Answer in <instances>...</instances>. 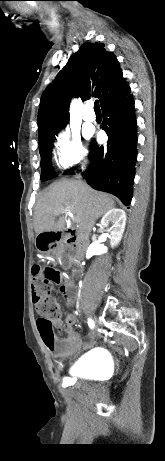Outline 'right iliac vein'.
<instances>
[{"label": "right iliac vein", "instance_id": "63e3f726", "mask_svg": "<svg viewBox=\"0 0 165 461\" xmlns=\"http://www.w3.org/2000/svg\"><path fill=\"white\" fill-rule=\"evenodd\" d=\"M96 322H97V320H96V318H94V323L96 324ZM95 337H96V332L93 333V339H95Z\"/></svg>", "mask_w": 165, "mask_h": 461}]
</instances>
